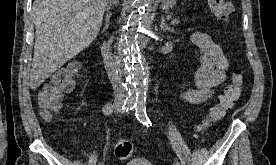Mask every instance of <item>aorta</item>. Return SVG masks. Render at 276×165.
Returning a JSON list of instances; mask_svg holds the SVG:
<instances>
[{
	"label": "aorta",
	"instance_id": "1",
	"mask_svg": "<svg viewBox=\"0 0 276 165\" xmlns=\"http://www.w3.org/2000/svg\"><path fill=\"white\" fill-rule=\"evenodd\" d=\"M151 0H133L132 11L118 44L117 67L128 92V100H146L147 63L142 50L149 30L148 6Z\"/></svg>",
	"mask_w": 276,
	"mask_h": 165
}]
</instances>
